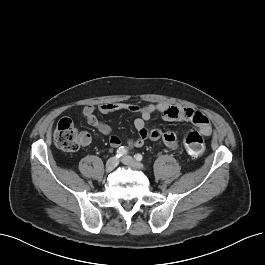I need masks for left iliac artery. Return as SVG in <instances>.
<instances>
[{
  "mask_svg": "<svg viewBox=\"0 0 265 265\" xmlns=\"http://www.w3.org/2000/svg\"><path fill=\"white\" fill-rule=\"evenodd\" d=\"M134 157L137 161H141L143 159L142 155L139 153H137Z\"/></svg>",
  "mask_w": 265,
  "mask_h": 265,
  "instance_id": "1",
  "label": "left iliac artery"
}]
</instances>
